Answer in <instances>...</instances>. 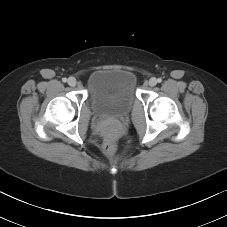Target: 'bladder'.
<instances>
[{
    "instance_id": "1",
    "label": "bladder",
    "mask_w": 227,
    "mask_h": 227,
    "mask_svg": "<svg viewBox=\"0 0 227 227\" xmlns=\"http://www.w3.org/2000/svg\"><path fill=\"white\" fill-rule=\"evenodd\" d=\"M89 102L99 117H120L135 102V77L122 69H101L88 80Z\"/></svg>"
}]
</instances>
